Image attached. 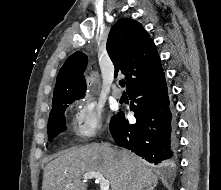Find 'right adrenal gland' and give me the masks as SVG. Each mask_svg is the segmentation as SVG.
Returning <instances> with one entry per match:
<instances>
[{
	"mask_svg": "<svg viewBox=\"0 0 221 190\" xmlns=\"http://www.w3.org/2000/svg\"><path fill=\"white\" fill-rule=\"evenodd\" d=\"M154 188H155V186L150 187V188H148V189H146V190H154Z\"/></svg>",
	"mask_w": 221,
	"mask_h": 190,
	"instance_id": "right-adrenal-gland-1",
	"label": "right adrenal gland"
}]
</instances>
